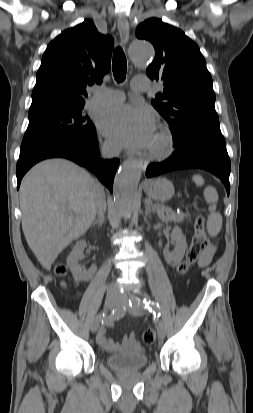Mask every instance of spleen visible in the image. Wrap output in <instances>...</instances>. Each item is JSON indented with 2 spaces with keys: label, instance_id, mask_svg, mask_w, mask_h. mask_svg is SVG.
<instances>
[{
  "label": "spleen",
  "instance_id": "spleen-1",
  "mask_svg": "<svg viewBox=\"0 0 253 413\" xmlns=\"http://www.w3.org/2000/svg\"><path fill=\"white\" fill-rule=\"evenodd\" d=\"M192 179L197 186H202L204 184V179L198 174L193 175ZM203 194L206 202L209 204L210 211L206 224L207 231L211 237H214L220 232L222 227V216L219 212H216L218 193L214 187L208 186L205 188Z\"/></svg>",
  "mask_w": 253,
  "mask_h": 413
}]
</instances>
